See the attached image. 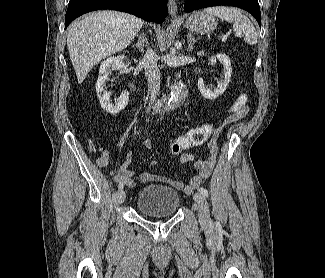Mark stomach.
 I'll return each mask as SVG.
<instances>
[{
    "label": "stomach",
    "instance_id": "0dacf381",
    "mask_svg": "<svg viewBox=\"0 0 325 278\" xmlns=\"http://www.w3.org/2000/svg\"><path fill=\"white\" fill-rule=\"evenodd\" d=\"M184 26L190 31L208 34L216 29L217 23L212 15L197 11L190 15Z\"/></svg>",
    "mask_w": 325,
    "mask_h": 278
}]
</instances>
